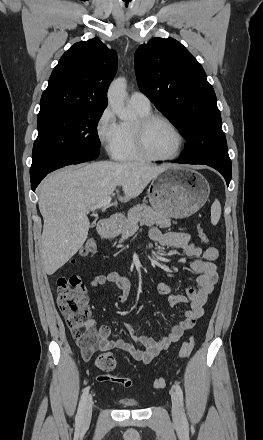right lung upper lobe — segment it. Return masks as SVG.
Masks as SVG:
<instances>
[{"mask_svg": "<svg viewBox=\"0 0 263 440\" xmlns=\"http://www.w3.org/2000/svg\"><path fill=\"white\" fill-rule=\"evenodd\" d=\"M117 57L99 39L75 43L52 71L40 111L106 108Z\"/></svg>", "mask_w": 263, "mask_h": 440, "instance_id": "cb5924a9", "label": "right lung upper lobe"}]
</instances>
